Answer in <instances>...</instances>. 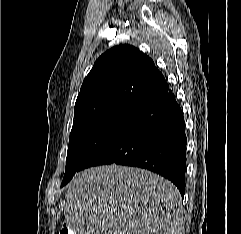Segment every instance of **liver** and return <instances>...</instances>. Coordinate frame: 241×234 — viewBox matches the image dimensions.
<instances>
[{
  "mask_svg": "<svg viewBox=\"0 0 241 234\" xmlns=\"http://www.w3.org/2000/svg\"><path fill=\"white\" fill-rule=\"evenodd\" d=\"M181 203L179 190L163 177L106 165L75 174L62 209L74 234H177Z\"/></svg>",
  "mask_w": 241,
  "mask_h": 234,
  "instance_id": "1",
  "label": "liver"
}]
</instances>
